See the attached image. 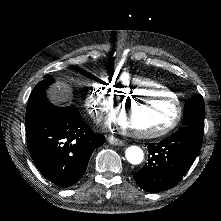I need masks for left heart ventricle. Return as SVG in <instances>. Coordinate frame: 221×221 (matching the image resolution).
Returning <instances> with one entry per match:
<instances>
[{
    "label": "left heart ventricle",
    "instance_id": "1",
    "mask_svg": "<svg viewBox=\"0 0 221 221\" xmlns=\"http://www.w3.org/2000/svg\"><path fill=\"white\" fill-rule=\"evenodd\" d=\"M113 115L120 124H128L129 130L138 134L144 129L165 124L173 115V106L170 101L159 97L140 99L132 104H118Z\"/></svg>",
    "mask_w": 221,
    "mask_h": 221
}]
</instances>
